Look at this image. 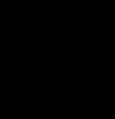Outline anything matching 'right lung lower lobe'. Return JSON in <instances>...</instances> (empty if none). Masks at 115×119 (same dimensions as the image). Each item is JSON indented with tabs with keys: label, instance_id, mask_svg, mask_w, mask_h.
<instances>
[{
	"label": "right lung lower lobe",
	"instance_id": "1",
	"mask_svg": "<svg viewBox=\"0 0 115 119\" xmlns=\"http://www.w3.org/2000/svg\"><path fill=\"white\" fill-rule=\"evenodd\" d=\"M0 83L18 96L39 98L50 88L49 67L42 57L14 62L0 68Z\"/></svg>",
	"mask_w": 115,
	"mask_h": 119
}]
</instances>
